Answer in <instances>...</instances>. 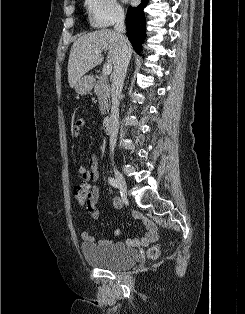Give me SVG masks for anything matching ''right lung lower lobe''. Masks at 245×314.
Segmentation results:
<instances>
[{
  "label": "right lung lower lobe",
  "mask_w": 245,
  "mask_h": 314,
  "mask_svg": "<svg viewBox=\"0 0 245 314\" xmlns=\"http://www.w3.org/2000/svg\"><path fill=\"white\" fill-rule=\"evenodd\" d=\"M142 3L136 7H129L126 16V26L128 39L137 52L141 51V44L145 34V15L143 9L147 6L149 0H141Z\"/></svg>",
  "instance_id": "obj_1"
}]
</instances>
